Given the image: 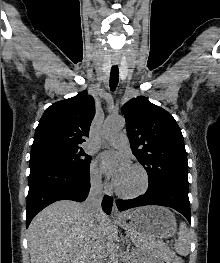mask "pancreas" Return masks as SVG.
Here are the masks:
<instances>
[{"label": "pancreas", "mask_w": 220, "mask_h": 263, "mask_svg": "<svg viewBox=\"0 0 220 263\" xmlns=\"http://www.w3.org/2000/svg\"><path fill=\"white\" fill-rule=\"evenodd\" d=\"M152 249L155 251L157 256L163 261H166V263H170L174 257V253L170 250L169 246L160 241L152 242Z\"/></svg>", "instance_id": "obj_1"}]
</instances>
